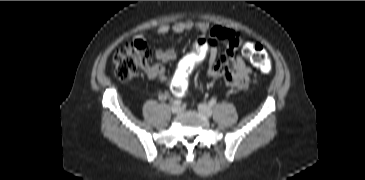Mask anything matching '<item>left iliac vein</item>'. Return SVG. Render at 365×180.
<instances>
[{
    "label": "left iliac vein",
    "instance_id": "obj_1",
    "mask_svg": "<svg viewBox=\"0 0 365 180\" xmlns=\"http://www.w3.org/2000/svg\"><path fill=\"white\" fill-rule=\"evenodd\" d=\"M198 111L205 117H210L212 115V109L209 105L201 103L198 105Z\"/></svg>",
    "mask_w": 365,
    "mask_h": 180
}]
</instances>
